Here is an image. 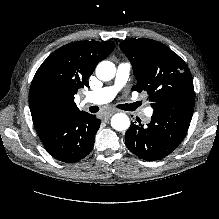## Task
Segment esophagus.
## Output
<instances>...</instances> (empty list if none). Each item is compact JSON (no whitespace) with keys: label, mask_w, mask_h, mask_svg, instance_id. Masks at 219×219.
Segmentation results:
<instances>
[{"label":"esophagus","mask_w":219,"mask_h":219,"mask_svg":"<svg viewBox=\"0 0 219 219\" xmlns=\"http://www.w3.org/2000/svg\"><path fill=\"white\" fill-rule=\"evenodd\" d=\"M116 112H118V110L115 109V108H113L112 110H110V112H108V114H104V115H103V120H104V122H107L108 119L110 118V116H111L113 113H116Z\"/></svg>","instance_id":"obj_1"}]
</instances>
